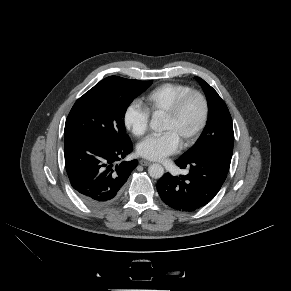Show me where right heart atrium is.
<instances>
[{
    "mask_svg": "<svg viewBox=\"0 0 291 291\" xmlns=\"http://www.w3.org/2000/svg\"><path fill=\"white\" fill-rule=\"evenodd\" d=\"M123 122L133 135L141 137L149 128L150 114L139 102L133 101L124 111Z\"/></svg>",
    "mask_w": 291,
    "mask_h": 291,
    "instance_id": "d8ad5b80",
    "label": "right heart atrium"
}]
</instances>
